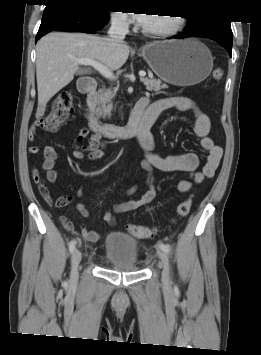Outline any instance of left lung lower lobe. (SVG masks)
<instances>
[{
  "label": "left lung lower lobe",
  "mask_w": 261,
  "mask_h": 355,
  "mask_svg": "<svg viewBox=\"0 0 261 355\" xmlns=\"http://www.w3.org/2000/svg\"><path fill=\"white\" fill-rule=\"evenodd\" d=\"M187 37H203L214 40L215 42L221 44L228 51L230 56L232 55L233 34L230 23L214 21L210 22L198 31L185 30L183 33L173 36V38Z\"/></svg>",
  "instance_id": "1"
}]
</instances>
